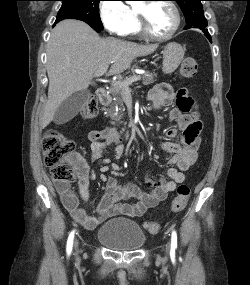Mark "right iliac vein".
<instances>
[{
    "label": "right iliac vein",
    "mask_w": 250,
    "mask_h": 285,
    "mask_svg": "<svg viewBox=\"0 0 250 285\" xmlns=\"http://www.w3.org/2000/svg\"><path fill=\"white\" fill-rule=\"evenodd\" d=\"M78 246H79V244H78V241L76 240L75 241V249H76V251L78 250Z\"/></svg>",
    "instance_id": "63e3f726"
}]
</instances>
